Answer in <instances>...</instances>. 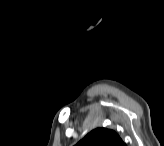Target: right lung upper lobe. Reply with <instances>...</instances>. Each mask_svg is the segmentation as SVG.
I'll list each match as a JSON object with an SVG mask.
<instances>
[{"label": "right lung upper lobe", "instance_id": "1", "mask_svg": "<svg viewBox=\"0 0 164 146\" xmlns=\"http://www.w3.org/2000/svg\"><path fill=\"white\" fill-rule=\"evenodd\" d=\"M77 146H125V144L115 131L96 128L80 140Z\"/></svg>", "mask_w": 164, "mask_h": 146}]
</instances>
